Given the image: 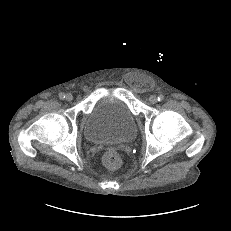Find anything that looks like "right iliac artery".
Returning a JSON list of instances; mask_svg holds the SVG:
<instances>
[{"label": "right iliac artery", "mask_w": 231, "mask_h": 231, "mask_svg": "<svg viewBox=\"0 0 231 231\" xmlns=\"http://www.w3.org/2000/svg\"><path fill=\"white\" fill-rule=\"evenodd\" d=\"M59 97H60V99H64L65 98V94L64 93H60Z\"/></svg>", "instance_id": "obj_1"}]
</instances>
